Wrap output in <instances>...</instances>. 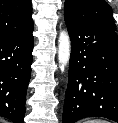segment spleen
I'll use <instances>...</instances> for the list:
<instances>
[{
	"label": "spleen",
	"instance_id": "obj_1",
	"mask_svg": "<svg viewBox=\"0 0 118 123\" xmlns=\"http://www.w3.org/2000/svg\"><path fill=\"white\" fill-rule=\"evenodd\" d=\"M84 123H108V122L100 119H92V120H87Z\"/></svg>",
	"mask_w": 118,
	"mask_h": 123
}]
</instances>
